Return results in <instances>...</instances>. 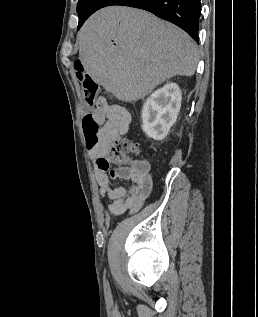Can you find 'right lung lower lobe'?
<instances>
[{"label": "right lung lower lobe", "mask_w": 258, "mask_h": 317, "mask_svg": "<svg viewBox=\"0 0 258 317\" xmlns=\"http://www.w3.org/2000/svg\"><path fill=\"white\" fill-rule=\"evenodd\" d=\"M201 0H87L78 12L79 25L100 8L123 5L147 10L182 28L198 42Z\"/></svg>", "instance_id": "obj_1"}]
</instances>
